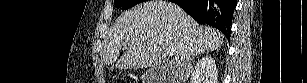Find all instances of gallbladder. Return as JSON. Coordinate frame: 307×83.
I'll return each instance as SVG.
<instances>
[{
	"label": "gallbladder",
	"mask_w": 307,
	"mask_h": 83,
	"mask_svg": "<svg viewBox=\"0 0 307 83\" xmlns=\"http://www.w3.org/2000/svg\"><path fill=\"white\" fill-rule=\"evenodd\" d=\"M158 70L157 69H148L143 74V80L147 83H155L157 81Z\"/></svg>",
	"instance_id": "gallbladder-1"
}]
</instances>
